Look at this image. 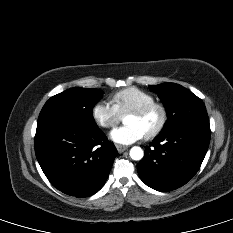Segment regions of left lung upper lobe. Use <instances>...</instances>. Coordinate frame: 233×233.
<instances>
[{
    "instance_id": "left-lung-upper-lobe-1",
    "label": "left lung upper lobe",
    "mask_w": 233,
    "mask_h": 233,
    "mask_svg": "<svg viewBox=\"0 0 233 233\" xmlns=\"http://www.w3.org/2000/svg\"><path fill=\"white\" fill-rule=\"evenodd\" d=\"M149 88L158 93L167 112L168 120L161 133L192 122H209L203 101L185 87L167 82Z\"/></svg>"
}]
</instances>
